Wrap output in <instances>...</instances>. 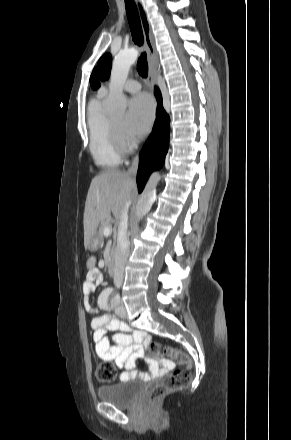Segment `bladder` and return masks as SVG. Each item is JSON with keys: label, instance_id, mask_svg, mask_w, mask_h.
Instances as JSON below:
<instances>
[{"label": "bladder", "instance_id": "obj_1", "mask_svg": "<svg viewBox=\"0 0 291 440\" xmlns=\"http://www.w3.org/2000/svg\"><path fill=\"white\" fill-rule=\"evenodd\" d=\"M135 382L122 380L117 383L102 386L97 389V397L116 406H129L140 395V388Z\"/></svg>", "mask_w": 291, "mask_h": 440}]
</instances>
